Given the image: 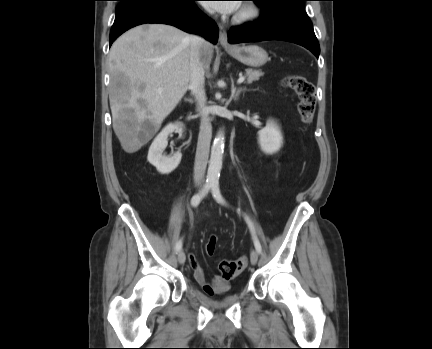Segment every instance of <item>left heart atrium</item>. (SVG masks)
Instances as JSON below:
<instances>
[{"mask_svg":"<svg viewBox=\"0 0 432 349\" xmlns=\"http://www.w3.org/2000/svg\"><path fill=\"white\" fill-rule=\"evenodd\" d=\"M206 7L214 9L220 13L231 14L238 10L240 4L238 1H224V2H214L205 3Z\"/></svg>","mask_w":432,"mask_h":349,"instance_id":"1","label":"left heart atrium"}]
</instances>
